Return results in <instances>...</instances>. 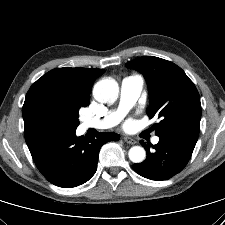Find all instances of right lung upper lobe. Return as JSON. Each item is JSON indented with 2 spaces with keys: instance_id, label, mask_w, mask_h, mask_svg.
<instances>
[{
  "instance_id": "1",
  "label": "right lung upper lobe",
  "mask_w": 225,
  "mask_h": 225,
  "mask_svg": "<svg viewBox=\"0 0 225 225\" xmlns=\"http://www.w3.org/2000/svg\"><path fill=\"white\" fill-rule=\"evenodd\" d=\"M104 72L103 69L64 67L55 68L39 78L27 92L22 108L24 134L40 128L30 118V107L39 95L46 92H56L89 97L93 82Z\"/></svg>"
}]
</instances>
